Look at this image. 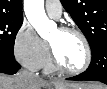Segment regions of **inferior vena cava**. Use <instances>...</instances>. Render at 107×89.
I'll use <instances>...</instances> for the list:
<instances>
[{
  "instance_id": "602c4592",
  "label": "inferior vena cava",
  "mask_w": 107,
  "mask_h": 89,
  "mask_svg": "<svg viewBox=\"0 0 107 89\" xmlns=\"http://www.w3.org/2000/svg\"><path fill=\"white\" fill-rule=\"evenodd\" d=\"M21 76L23 77H30V76H34L33 73H30L29 71L27 70H21L20 73H19Z\"/></svg>"
}]
</instances>
